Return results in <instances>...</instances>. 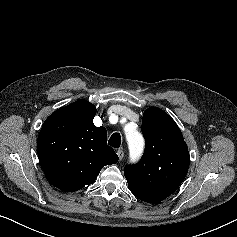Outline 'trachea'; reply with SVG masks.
Masks as SVG:
<instances>
[{"instance_id": "3493384b", "label": "trachea", "mask_w": 237, "mask_h": 237, "mask_svg": "<svg viewBox=\"0 0 237 237\" xmlns=\"http://www.w3.org/2000/svg\"><path fill=\"white\" fill-rule=\"evenodd\" d=\"M108 144L114 148H119L120 145H121V136L119 133H114L109 141H108Z\"/></svg>"}]
</instances>
